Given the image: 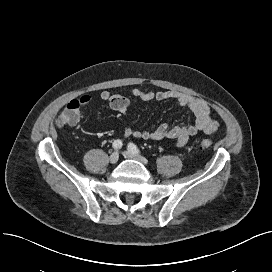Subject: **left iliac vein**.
I'll use <instances>...</instances> for the list:
<instances>
[{
  "instance_id": "1",
  "label": "left iliac vein",
  "mask_w": 272,
  "mask_h": 272,
  "mask_svg": "<svg viewBox=\"0 0 272 272\" xmlns=\"http://www.w3.org/2000/svg\"><path fill=\"white\" fill-rule=\"evenodd\" d=\"M123 155L127 158V159H134L137 160L139 162H141L144 165H148V161L141 155L135 154L129 150L124 151Z\"/></svg>"
}]
</instances>
